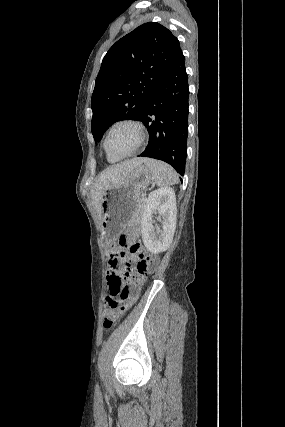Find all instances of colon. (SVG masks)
Returning a JSON list of instances; mask_svg holds the SVG:
<instances>
[{"label": "colon", "instance_id": "5ec220e1", "mask_svg": "<svg viewBox=\"0 0 285 427\" xmlns=\"http://www.w3.org/2000/svg\"><path fill=\"white\" fill-rule=\"evenodd\" d=\"M136 235V230L125 231L119 239L111 244L109 249L110 257L118 259L120 251L128 248L129 262L122 264V267L125 270L132 271V274L128 283L125 282L122 274L108 275V284L112 292L105 301L106 312L103 318L105 330H111L114 327L118 320L117 311L125 302L135 299L140 286L152 270L153 260L144 253L141 245L134 241Z\"/></svg>", "mask_w": 285, "mask_h": 427}]
</instances>
